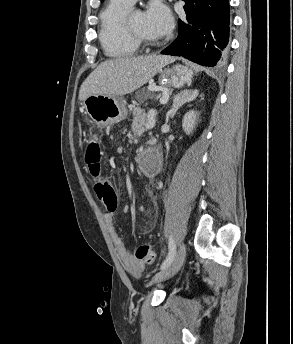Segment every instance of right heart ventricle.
Wrapping results in <instances>:
<instances>
[{"label":"right heart ventricle","instance_id":"e07e8e85","mask_svg":"<svg viewBox=\"0 0 293 344\" xmlns=\"http://www.w3.org/2000/svg\"><path fill=\"white\" fill-rule=\"evenodd\" d=\"M131 7L132 5L110 0L100 12L99 40L108 57L126 58L139 53V46L127 37L123 27Z\"/></svg>","mask_w":293,"mask_h":344}]
</instances>
